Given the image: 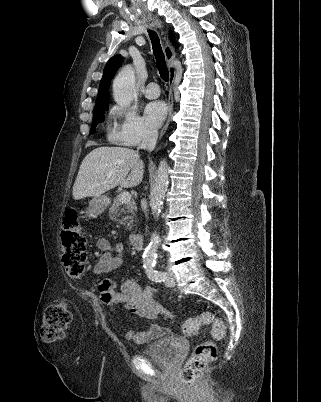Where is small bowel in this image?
<instances>
[{
  "label": "small bowel",
  "mask_w": 321,
  "mask_h": 402,
  "mask_svg": "<svg viewBox=\"0 0 321 402\" xmlns=\"http://www.w3.org/2000/svg\"><path fill=\"white\" fill-rule=\"evenodd\" d=\"M97 246L101 254L93 267L95 274L110 273L122 264L124 253L122 245H110L107 241L99 239ZM98 292L102 303L114 316L117 306H123L143 319L155 320L160 316H170V313L156 302L155 288L141 286L132 279L126 280L120 286L111 281H104L99 285ZM163 332L161 325L152 324L142 331L126 329L125 337L136 344L144 345L161 337Z\"/></svg>",
  "instance_id": "1"
}]
</instances>
